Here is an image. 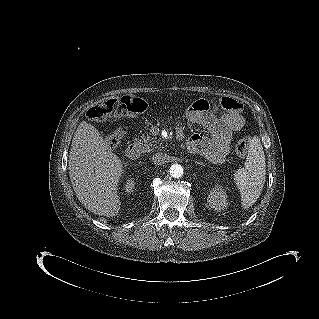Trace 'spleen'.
I'll return each mask as SVG.
<instances>
[{"instance_id": "3e777b00", "label": "spleen", "mask_w": 319, "mask_h": 319, "mask_svg": "<svg viewBox=\"0 0 319 319\" xmlns=\"http://www.w3.org/2000/svg\"><path fill=\"white\" fill-rule=\"evenodd\" d=\"M265 155L258 136L250 140L245 166L234 174L236 186L241 193L244 208L253 205L260 196L265 182Z\"/></svg>"}]
</instances>
